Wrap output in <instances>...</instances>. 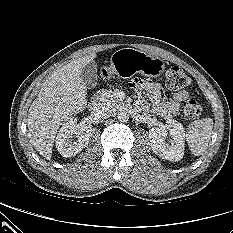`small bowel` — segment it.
Wrapping results in <instances>:
<instances>
[{
    "label": "small bowel",
    "mask_w": 233,
    "mask_h": 233,
    "mask_svg": "<svg viewBox=\"0 0 233 233\" xmlns=\"http://www.w3.org/2000/svg\"><path fill=\"white\" fill-rule=\"evenodd\" d=\"M131 87L138 93L136 106L139 110L150 111L165 118L173 117L177 113L180 103L189 97V93L185 90L165 97L160 84L140 79L134 80ZM142 93H146L149 100L144 99L141 96Z\"/></svg>",
    "instance_id": "obj_1"
}]
</instances>
